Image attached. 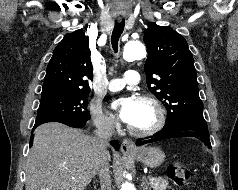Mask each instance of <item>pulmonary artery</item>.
Returning a JSON list of instances; mask_svg holds the SVG:
<instances>
[{
	"label": "pulmonary artery",
	"instance_id": "obj_1",
	"mask_svg": "<svg viewBox=\"0 0 238 190\" xmlns=\"http://www.w3.org/2000/svg\"><path fill=\"white\" fill-rule=\"evenodd\" d=\"M140 81V74L135 70H128L125 72L122 79H113L108 84L110 91H119L125 85H137Z\"/></svg>",
	"mask_w": 238,
	"mask_h": 190
}]
</instances>
